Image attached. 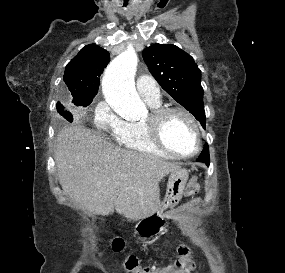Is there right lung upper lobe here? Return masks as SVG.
I'll list each match as a JSON object with an SVG mask.
<instances>
[{
    "instance_id": "right-lung-upper-lobe-1",
    "label": "right lung upper lobe",
    "mask_w": 285,
    "mask_h": 273,
    "mask_svg": "<svg viewBox=\"0 0 285 273\" xmlns=\"http://www.w3.org/2000/svg\"><path fill=\"white\" fill-rule=\"evenodd\" d=\"M110 60L109 52L98 45L90 44L80 50L65 68L64 82L73 102L92 101L98 92L104 68Z\"/></svg>"
}]
</instances>
